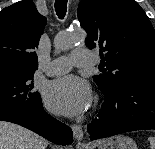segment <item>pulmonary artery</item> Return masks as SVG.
Listing matches in <instances>:
<instances>
[{"mask_svg":"<svg viewBox=\"0 0 155 149\" xmlns=\"http://www.w3.org/2000/svg\"><path fill=\"white\" fill-rule=\"evenodd\" d=\"M95 62L94 54L84 48L74 50L68 57L53 60L46 70L47 75L54 76L68 72L72 66H90Z\"/></svg>","mask_w":155,"mask_h":149,"instance_id":"1","label":"pulmonary artery"}]
</instances>
